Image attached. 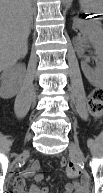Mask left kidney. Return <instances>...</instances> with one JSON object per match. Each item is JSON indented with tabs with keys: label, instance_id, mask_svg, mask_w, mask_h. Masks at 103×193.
Returning <instances> with one entry per match:
<instances>
[{
	"label": "left kidney",
	"instance_id": "obj_1",
	"mask_svg": "<svg viewBox=\"0 0 103 193\" xmlns=\"http://www.w3.org/2000/svg\"><path fill=\"white\" fill-rule=\"evenodd\" d=\"M84 24L79 21L75 20L73 28H79L83 29ZM89 30L87 29L86 32ZM92 44L95 49V53L98 57V63L96 68H91L86 61L81 62V68L85 75V77L93 83L102 82L103 79V43L101 39H98L97 37L93 36L92 38Z\"/></svg>",
	"mask_w": 103,
	"mask_h": 193
}]
</instances>
